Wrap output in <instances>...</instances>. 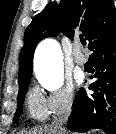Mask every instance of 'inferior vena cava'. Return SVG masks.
Returning a JSON list of instances; mask_svg holds the SVG:
<instances>
[{
  "mask_svg": "<svg viewBox=\"0 0 116 134\" xmlns=\"http://www.w3.org/2000/svg\"><path fill=\"white\" fill-rule=\"evenodd\" d=\"M70 113H71L70 105L66 106L57 113V116L53 121V129L57 134H64L65 132L64 124L68 120Z\"/></svg>",
  "mask_w": 116,
  "mask_h": 134,
  "instance_id": "1",
  "label": "inferior vena cava"
}]
</instances>
